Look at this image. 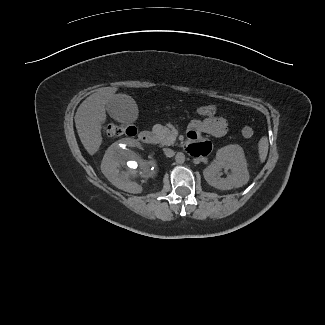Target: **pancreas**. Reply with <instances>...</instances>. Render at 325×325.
<instances>
[{
  "instance_id": "1",
  "label": "pancreas",
  "mask_w": 325,
  "mask_h": 325,
  "mask_svg": "<svg viewBox=\"0 0 325 325\" xmlns=\"http://www.w3.org/2000/svg\"><path fill=\"white\" fill-rule=\"evenodd\" d=\"M152 131L155 135L157 143L162 145H172L176 140V137L172 135L170 130L165 126L157 124L153 127Z\"/></svg>"
}]
</instances>
